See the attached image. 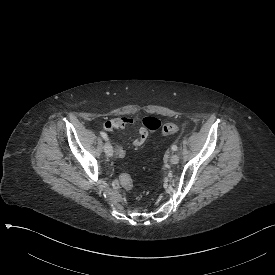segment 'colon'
<instances>
[{"instance_id": "5ec220e1", "label": "colon", "mask_w": 275, "mask_h": 275, "mask_svg": "<svg viewBox=\"0 0 275 275\" xmlns=\"http://www.w3.org/2000/svg\"><path fill=\"white\" fill-rule=\"evenodd\" d=\"M161 130L164 135L175 134L179 131V126L176 124L168 123L163 125ZM119 184L127 190L132 189L134 187V181L131 174H121V176L119 177Z\"/></svg>"}]
</instances>
